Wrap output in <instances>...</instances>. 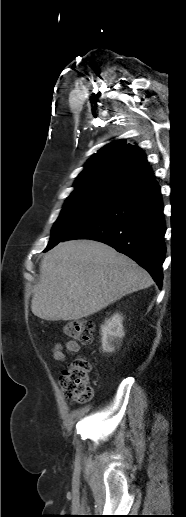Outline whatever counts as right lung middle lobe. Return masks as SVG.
Instances as JSON below:
<instances>
[{
	"label": "right lung middle lobe",
	"instance_id": "1",
	"mask_svg": "<svg viewBox=\"0 0 186 517\" xmlns=\"http://www.w3.org/2000/svg\"><path fill=\"white\" fill-rule=\"evenodd\" d=\"M116 201L100 197H68L52 228V235L45 251L63 241L80 226L111 207Z\"/></svg>",
	"mask_w": 186,
	"mask_h": 517
}]
</instances>
